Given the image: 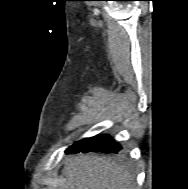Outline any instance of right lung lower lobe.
<instances>
[{
    "label": "right lung lower lobe",
    "instance_id": "1",
    "mask_svg": "<svg viewBox=\"0 0 188 189\" xmlns=\"http://www.w3.org/2000/svg\"><path fill=\"white\" fill-rule=\"evenodd\" d=\"M121 146L114 142L109 135H97L91 138H85L75 142L65 152L66 153H87V152H101V153H117Z\"/></svg>",
    "mask_w": 188,
    "mask_h": 189
}]
</instances>
